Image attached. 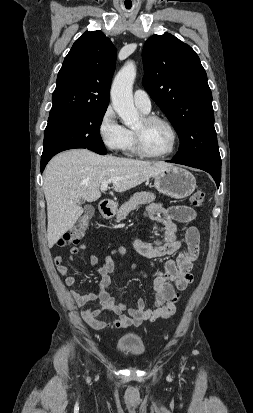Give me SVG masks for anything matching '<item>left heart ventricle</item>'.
<instances>
[{
    "mask_svg": "<svg viewBox=\"0 0 253 413\" xmlns=\"http://www.w3.org/2000/svg\"><path fill=\"white\" fill-rule=\"evenodd\" d=\"M134 129L141 133L146 149L152 153H163L171 146L172 134L163 123H145L142 118Z\"/></svg>",
    "mask_w": 253,
    "mask_h": 413,
    "instance_id": "left-heart-ventricle-1",
    "label": "left heart ventricle"
}]
</instances>
